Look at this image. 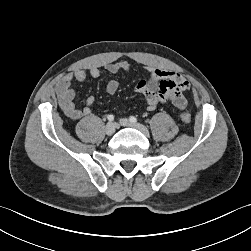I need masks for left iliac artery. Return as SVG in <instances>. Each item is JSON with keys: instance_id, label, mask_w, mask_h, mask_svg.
Wrapping results in <instances>:
<instances>
[{"instance_id": "1", "label": "left iliac artery", "mask_w": 251, "mask_h": 251, "mask_svg": "<svg viewBox=\"0 0 251 251\" xmlns=\"http://www.w3.org/2000/svg\"><path fill=\"white\" fill-rule=\"evenodd\" d=\"M129 120L131 121V122H137V118L136 117H134V116H131L130 118H129Z\"/></svg>"}]
</instances>
